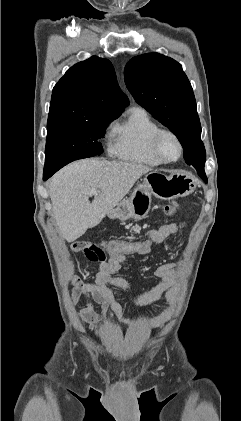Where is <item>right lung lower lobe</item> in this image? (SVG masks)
<instances>
[{"mask_svg": "<svg viewBox=\"0 0 241 421\" xmlns=\"http://www.w3.org/2000/svg\"><path fill=\"white\" fill-rule=\"evenodd\" d=\"M59 169H44V174H43V179L46 180L49 177H51L56 171H58Z\"/></svg>", "mask_w": 241, "mask_h": 421, "instance_id": "right-lung-lower-lobe-1", "label": "right lung lower lobe"}]
</instances>
